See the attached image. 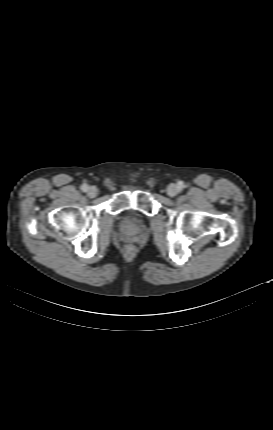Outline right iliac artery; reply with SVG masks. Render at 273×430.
<instances>
[{
    "label": "right iliac artery",
    "mask_w": 273,
    "mask_h": 430,
    "mask_svg": "<svg viewBox=\"0 0 273 430\" xmlns=\"http://www.w3.org/2000/svg\"><path fill=\"white\" fill-rule=\"evenodd\" d=\"M88 189H89V187H88V185H87V184H83V185L81 186V190H82L83 192H87V191H88Z\"/></svg>",
    "instance_id": "right-iliac-artery-1"
}]
</instances>
